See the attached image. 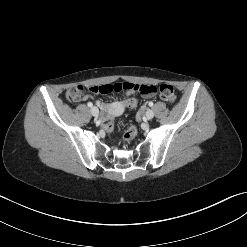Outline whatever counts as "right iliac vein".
I'll return each instance as SVG.
<instances>
[{
    "instance_id": "right-iliac-vein-1",
    "label": "right iliac vein",
    "mask_w": 247,
    "mask_h": 247,
    "mask_svg": "<svg viewBox=\"0 0 247 247\" xmlns=\"http://www.w3.org/2000/svg\"><path fill=\"white\" fill-rule=\"evenodd\" d=\"M91 114L93 115V116H95V117H97L98 115H99V110H98V108L97 107H92L91 108Z\"/></svg>"
}]
</instances>
